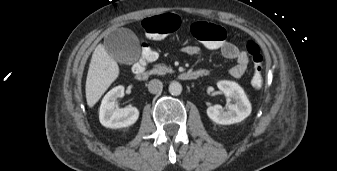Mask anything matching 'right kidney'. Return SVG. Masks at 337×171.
Masks as SVG:
<instances>
[{
  "instance_id": "right-kidney-1",
  "label": "right kidney",
  "mask_w": 337,
  "mask_h": 171,
  "mask_svg": "<svg viewBox=\"0 0 337 171\" xmlns=\"http://www.w3.org/2000/svg\"><path fill=\"white\" fill-rule=\"evenodd\" d=\"M124 96V87L117 86L111 89L103 98L100 111V123L107 128H123L134 124L139 111L135 107L118 108L117 100Z\"/></svg>"
}]
</instances>
